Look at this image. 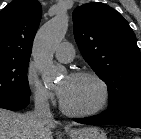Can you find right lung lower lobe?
<instances>
[{
	"label": "right lung lower lobe",
	"instance_id": "98d812e1",
	"mask_svg": "<svg viewBox=\"0 0 141 139\" xmlns=\"http://www.w3.org/2000/svg\"><path fill=\"white\" fill-rule=\"evenodd\" d=\"M29 104V97L0 98V108L9 110H20Z\"/></svg>",
	"mask_w": 141,
	"mask_h": 139
}]
</instances>
